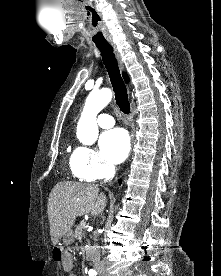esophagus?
I'll return each mask as SVG.
<instances>
[{
    "mask_svg": "<svg viewBox=\"0 0 221 276\" xmlns=\"http://www.w3.org/2000/svg\"><path fill=\"white\" fill-rule=\"evenodd\" d=\"M110 44L113 47L115 57L118 61L120 69L122 70L123 69V63H122V60H121V55H120L119 51L117 50L116 45L113 42H110Z\"/></svg>",
    "mask_w": 221,
    "mask_h": 276,
    "instance_id": "esophagus-1",
    "label": "esophagus"
}]
</instances>
